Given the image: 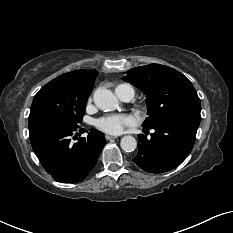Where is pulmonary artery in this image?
<instances>
[{
	"label": "pulmonary artery",
	"mask_w": 233,
	"mask_h": 233,
	"mask_svg": "<svg viewBox=\"0 0 233 233\" xmlns=\"http://www.w3.org/2000/svg\"><path fill=\"white\" fill-rule=\"evenodd\" d=\"M116 94L123 101H130L134 96V91L130 86H125L119 89H116Z\"/></svg>",
	"instance_id": "pulmonary-artery-1"
}]
</instances>
